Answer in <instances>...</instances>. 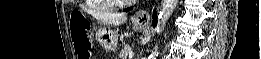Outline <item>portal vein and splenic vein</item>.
<instances>
[{
    "label": "portal vein and splenic vein",
    "instance_id": "18ae733b",
    "mask_svg": "<svg viewBox=\"0 0 261 59\" xmlns=\"http://www.w3.org/2000/svg\"><path fill=\"white\" fill-rule=\"evenodd\" d=\"M133 56V52H129V59H131Z\"/></svg>",
    "mask_w": 261,
    "mask_h": 59
}]
</instances>
